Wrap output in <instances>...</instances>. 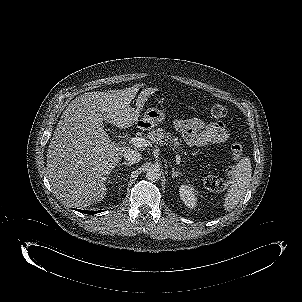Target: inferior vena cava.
I'll return each mask as SVG.
<instances>
[{
	"instance_id": "602c4592",
	"label": "inferior vena cava",
	"mask_w": 302,
	"mask_h": 302,
	"mask_svg": "<svg viewBox=\"0 0 302 302\" xmlns=\"http://www.w3.org/2000/svg\"><path fill=\"white\" fill-rule=\"evenodd\" d=\"M123 157L131 164L138 163L142 159L141 153L131 148H128L124 151Z\"/></svg>"
}]
</instances>
